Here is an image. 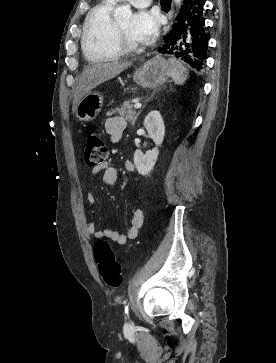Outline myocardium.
I'll use <instances>...</instances> for the list:
<instances>
[{
  "mask_svg": "<svg viewBox=\"0 0 276 363\" xmlns=\"http://www.w3.org/2000/svg\"><path fill=\"white\" fill-rule=\"evenodd\" d=\"M113 43L120 54H132L142 50L143 45H131L125 41L118 21L114 22L113 26Z\"/></svg>",
  "mask_w": 276,
  "mask_h": 363,
  "instance_id": "1",
  "label": "myocardium"
}]
</instances>
